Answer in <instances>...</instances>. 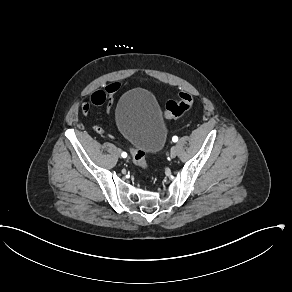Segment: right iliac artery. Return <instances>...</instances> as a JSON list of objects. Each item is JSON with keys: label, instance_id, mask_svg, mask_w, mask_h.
Segmentation results:
<instances>
[{"label": "right iliac artery", "instance_id": "82829eb1", "mask_svg": "<svg viewBox=\"0 0 292 292\" xmlns=\"http://www.w3.org/2000/svg\"><path fill=\"white\" fill-rule=\"evenodd\" d=\"M121 156H122L123 158H126V157H127V153H126V152H122Z\"/></svg>", "mask_w": 292, "mask_h": 292}]
</instances>
